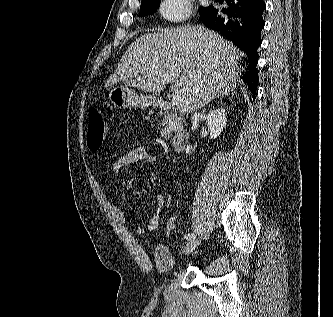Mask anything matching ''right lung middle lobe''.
Returning a JSON list of instances; mask_svg holds the SVG:
<instances>
[{
  "label": "right lung middle lobe",
  "mask_w": 333,
  "mask_h": 317,
  "mask_svg": "<svg viewBox=\"0 0 333 317\" xmlns=\"http://www.w3.org/2000/svg\"><path fill=\"white\" fill-rule=\"evenodd\" d=\"M159 2L160 0H143L141 2L139 16L142 17L155 12L159 7ZM204 9H205L204 7H200L199 12H201Z\"/></svg>",
  "instance_id": "1"
}]
</instances>
